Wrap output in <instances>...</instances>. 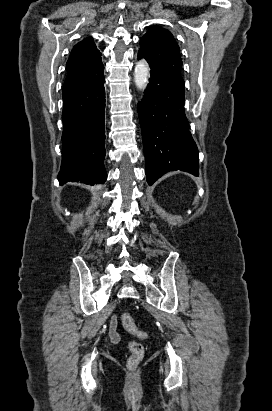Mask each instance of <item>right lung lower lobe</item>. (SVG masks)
Listing matches in <instances>:
<instances>
[{"label":"right lung lower lobe","mask_w":272,"mask_h":411,"mask_svg":"<svg viewBox=\"0 0 272 411\" xmlns=\"http://www.w3.org/2000/svg\"><path fill=\"white\" fill-rule=\"evenodd\" d=\"M105 79L76 94L63 97L61 184L80 181L102 184L107 179L105 158Z\"/></svg>","instance_id":"right-lung-lower-lobe-1"}]
</instances>
